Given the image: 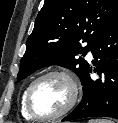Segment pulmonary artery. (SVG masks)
<instances>
[{
    "label": "pulmonary artery",
    "instance_id": "obj_1",
    "mask_svg": "<svg viewBox=\"0 0 118 123\" xmlns=\"http://www.w3.org/2000/svg\"><path fill=\"white\" fill-rule=\"evenodd\" d=\"M88 58H89L90 60L93 58V53H92V51H89V52H88Z\"/></svg>",
    "mask_w": 118,
    "mask_h": 123
}]
</instances>
